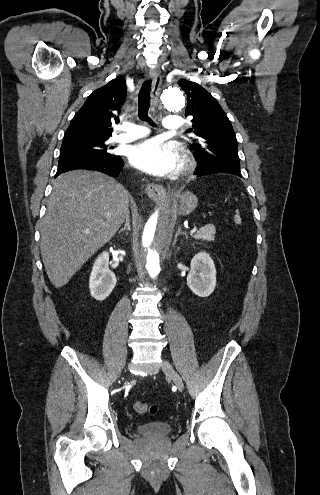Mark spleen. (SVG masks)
Masks as SVG:
<instances>
[{
    "mask_svg": "<svg viewBox=\"0 0 320 495\" xmlns=\"http://www.w3.org/2000/svg\"><path fill=\"white\" fill-rule=\"evenodd\" d=\"M234 220L237 224H241V218H240V215H239V212L237 211L236 212V215L234 217Z\"/></svg>",
    "mask_w": 320,
    "mask_h": 495,
    "instance_id": "3e777b00",
    "label": "spleen"
}]
</instances>
